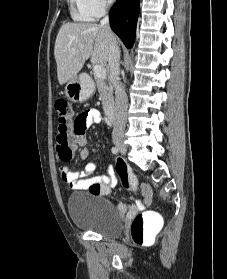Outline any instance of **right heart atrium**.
Wrapping results in <instances>:
<instances>
[{"mask_svg": "<svg viewBox=\"0 0 227 279\" xmlns=\"http://www.w3.org/2000/svg\"><path fill=\"white\" fill-rule=\"evenodd\" d=\"M111 1L112 0H84V4L93 17H99L108 9Z\"/></svg>", "mask_w": 227, "mask_h": 279, "instance_id": "obj_1", "label": "right heart atrium"}]
</instances>
